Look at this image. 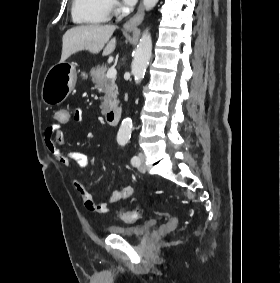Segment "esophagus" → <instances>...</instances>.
Listing matches in <instances>:
<instances>
[{
  "mask_svg": "<svg viewBox=\"0 0 280 283\" xmlns=\"http://www.w3.org/2000/svg\"><path fill=\"white\" fill-rule=\"evenodd\" d=\"M143 18H144V8H143V3L141 2L138 7L137 13L124 24L123 26L124 30L131 31L137 29L139 24H141V22L143 21Z\"/></svg>",
  "mask_w": 280,
  "mask_h": 283,
  "instance_id": "esophagus-1",
  "label": "esophagus"
}]
</instances>
